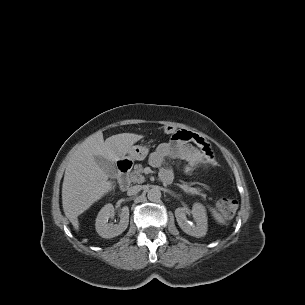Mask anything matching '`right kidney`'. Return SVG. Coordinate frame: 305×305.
I'll list each match as a JSON object with an SVG mask.
<instances>
[{"instance_id": "right-kidney-1", "label": "right kidney", "mask_w": 305, "mask_h": 305, "mask_svg": "<svg viewBox=\"0 0 305 305\" xmlns=\"http://www.w3.org/2000/svg\"><path fill=\"white\" fill-rule=\"evenodd\" d=\"M114 207L112 204H106L98 213L96 218V231L102 238H113L122 234L129 224V208L122 207L120 213V222L113 225L108 222L110 218L114 217Z\"/></svg>"}]
</instances>
